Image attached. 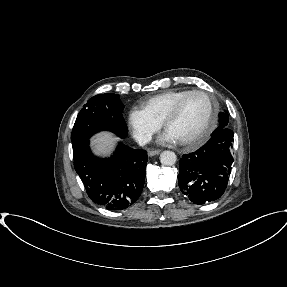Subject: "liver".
Wrapping results in <instances>:
<instances>
[{
    "mask_svg": "<svg viewBox=\"0 0 287 287\" xmlns=\"http://www.w3.org/2000/svg\"><path fill=\"white\" fill-rule=\"evenodd\" d=\"M118 138L109 132H101L92 138V147L98 155H109Z\"/></svg>",
    "mask_w": 287,
    "mask_h": 287,
    "instance_id": "6515ba94",
    "label": "liver"
}]
</instances>
